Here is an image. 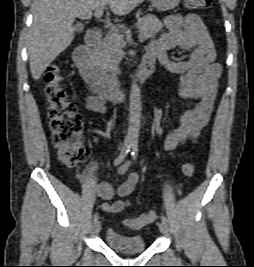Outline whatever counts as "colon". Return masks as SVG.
Instances as JSON below:
<instances>
[{
    "mask_svg": "<svg viewBox=\"0 0 254 267\" xmlns=\"http://www.w3.org/2000/svg\"><path fill=\"white\" fill-rule=\"evenodd\" d=\"M211 0H184L188 10H203L210 6ZM45 95L48 104V116L52 142L57 150L59 160L69 167H76L85 162L89 156L82 139L83 117L73 102L68 99L63 86V74L59 65H51L44 75ZM194 165L186 162L182 166L185 175L194 173ZM157 218L155 210L124 221L131 229H139Z\"/></svg>",
    "mask_w": 254,
    "mask_h": 267,
    "instance_id": "obj_1",
    "label": "colon"
}]
</instances>
